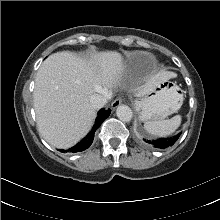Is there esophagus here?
<instances>
[{
    "label": "esophagus",
    "mask_w": 220,
    "mask_h": 220,
    "mask_svg": "<svg viewBox=\"0 0 220 220\" xmlns=\"http://www.w3.org/2000/svg\"><path fill=\"white\" fill-rule=\"evenodd\" d=\"M122 103L121 97H117L113 102L111 103V107L113 109L117 108Z\"/></svg>",
    "instance_id": "obj_1"
}]
</instances>
